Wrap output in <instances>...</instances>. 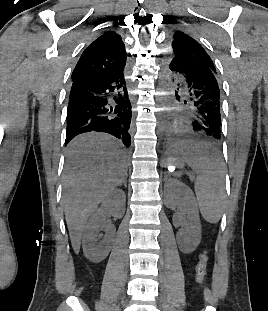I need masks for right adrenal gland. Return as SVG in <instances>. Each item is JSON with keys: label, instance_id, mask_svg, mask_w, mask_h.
Instances as JSON below:
<instances>
[{"label": "right adrenal gland", "instance_id": "1", "mask_svg": "<svg viewBox=\"0 0 268 311\" xmlns=\"http://www.w3.org/2000/svg\"><path fill=\"white\" fill-rule=\"evenodd\" d=\"M127 178L125 177L124 179H123V181L119 184V186H122V184H124V187H127V180H126Z\"/></svg>", "mask_w": 268, "mask_h": 311}]
</instances>
